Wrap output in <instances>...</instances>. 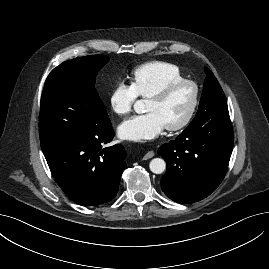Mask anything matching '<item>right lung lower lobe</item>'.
Returning <instances> with one entry per match:
<instances>
[{
  "label": "right lung lower lobe",
  "mask_w": 269,
  "mask_h": 269,
  "mask_svg": "<svg viewBox=\"0 0 269 269\" xmlns=\"http://www.w3.org/2000/svg\"><path fill=\"white\" fill-rule=\"evenodd\" d=\"M113 137L114 130L109 125L42 149L55 181L75 203L99 205L117 195L126 153L120 144L103 148Z\"/></svg>",
  "instance_id": "right-lung-lower-lobe-1"
}]
</instances>
